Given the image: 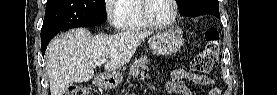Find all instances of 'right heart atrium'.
I'll return each mask as SVG.
<instances>
[{
  "mask_svg": "<svg viewBox=\"0 0 277 95\" xmlns=\"http://www.w3.org/2000/svg\"><path fill=\"white\" fill-rule=\"evenodd\" d=\"M116 0H107L105 5V13L107 17V21L110 24L111 27L118 29L119 23H118V13L115 11V9L112 7L111 3H113Z\"/></svg>",
  "mask_w": 277,
  "mask_h": 95,
  "instance_id": "d8ad5b80",
  "label": "right heart atrium"
}]
</instances>
